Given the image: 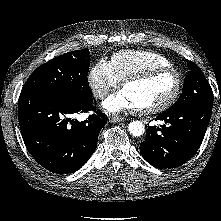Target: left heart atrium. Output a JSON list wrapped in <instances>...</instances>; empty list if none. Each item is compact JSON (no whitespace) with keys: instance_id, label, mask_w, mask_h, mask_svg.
Returning <instances> with one entry per match:
<instances>
[{"instance_id":"left-heart-atrium-1","label":"left heart atrium","mask_w":221,"mask_h":221,"mask_svg":"<svg viewBox=\"0 0 221 221\" xmlns=\"http://www.w3.org/2000/svg\"><path fill=\"white\" fill-rule=\"evenodd\" d=\"M102 105L105 110L111 113H119L124 110H139L124 90L109 96Z\"/></svg>"}]
</instances>
